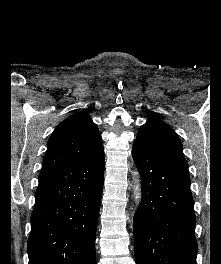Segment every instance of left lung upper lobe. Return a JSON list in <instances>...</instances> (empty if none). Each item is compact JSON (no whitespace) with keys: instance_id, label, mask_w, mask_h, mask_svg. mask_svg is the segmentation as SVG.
<instances>
[{"instance_id":"left-lung-upper-lobe-1","label":"left lung upper lobe","mask_w":221,"mask_h":264,"mask_svg":"<svg viewBox=\"0 0 221 264\" xmlns=\"http://www.w3.org/2000/svg\"><path fill=\"white\" fill-rule=\"evenodd\" d=\"M134 144L162 158L187 165L177 134L157 118L152 117L141 126Z\"/></svg>"}]
</instances>
